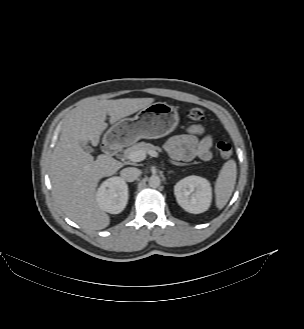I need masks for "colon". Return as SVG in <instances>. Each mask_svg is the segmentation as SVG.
Here are the masks:
<instances>
[{
	"instance_id": "obj_1",
	"label": "colon",
	"mask_w": 304,
	"mask_h": 329,
	"mask_svg": "<svg viewBox=\"0 0 304 329\" xmlns=\"http://www.w3.org/2000/svg\"><path fill=\"white\" fill-rule=\"evenodd\" d=\"M187 116L193 121H203L205 119V112L201 107H192L187 111ZM217 149L222 158L228 159L232 155V146L227 141H218Z\"/></svg>"
}]
</instances>
